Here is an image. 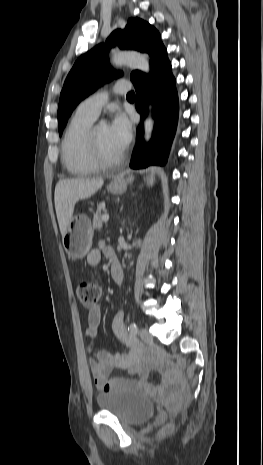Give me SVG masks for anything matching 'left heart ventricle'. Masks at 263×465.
I'll return each instance as SVG.
<instances>
[{"label": "left heart ventricle", "mask_w": 263, "mask_h": 465, "mask_svg": "<svg viewBox=\"0 0 263 465\" xmlns=\"http://www.w3.org/2000/svg\"><path fill=\"white\" fill-rule=\"evenodd\" d=\"M97 140L101 153L106 158H115L122 153L123 150L114 142L109 126L105 124L99 125L97 129Z\"/></svg>", "instance_id": "obj_1"}]
</instances>
